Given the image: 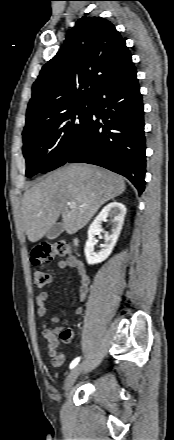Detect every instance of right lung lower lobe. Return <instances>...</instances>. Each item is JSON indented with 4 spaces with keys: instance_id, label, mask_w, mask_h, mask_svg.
<instances>
[{
    "instance_id": "1",
    "label": "right lung lower lobe",
    "mask_w": 174,
    "mask_h": 440,
    "mask_svg": "<svg viewBox=\"0 0 174 440\" xmlns=\"http://www.w3.org/2000/svg\"><path fill=\"white\" fill-rule=\"evenodd\" d=\"M90 106L86 130L65 163L107 168L128 178L141 194L146 146L143 102L132 60L99 85L90 97Z\"/></svg>"
}]
</instances>
